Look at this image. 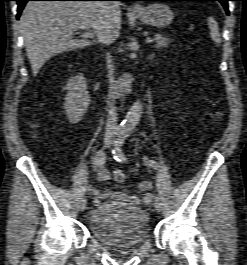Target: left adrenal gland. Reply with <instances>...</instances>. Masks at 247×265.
<instances>
[{"mask_svg": "<svg viewBox=\"0 0 247 265\" xmlns=\"http://www.w3.org/2000/svg\"><path fill=\"white\" fill-rule=\"evenodd\" d=\"M151 61L153 60V55L150 56Z\"/></svg>", "mask_w": 247, "mask_h": 265, "instance_id": "obj_1", "label": "left adrenal gland"}]
</instances>
